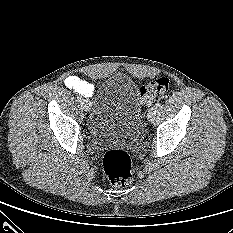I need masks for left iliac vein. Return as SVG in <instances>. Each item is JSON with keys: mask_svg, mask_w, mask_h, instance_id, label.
I'll use <instances>...</instances> for the list:
<instances>
[{"mask_svg": "<svg viewBox=\"0 0 233 233\" xmlns=\"http://www.w3.org/2000/svg\"><path fill=\"white\" fill-rule=\"evenodd\" d=\"M156 114H157V109H156V107H151V108L148 110V114H147V119H148V121L152 123V122L155 120Z\"/></svg>", "mask_w": 233, "mask_h": 233, "instance_id": "4c4485c4", "label": "left iliac vein"}]
</instances>
